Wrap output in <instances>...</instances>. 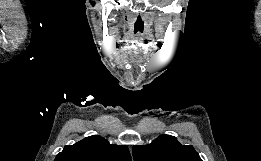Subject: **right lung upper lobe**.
<instances>
[{
    "instance_id": "right-lung-upper-lobe-1",
    "label": "right lung upper lobe",
    "mask_w": 261,
    "mask_h": 161,
    "mask_svg": "<svg viewBox=\"0 0 261 161\" xmlns=\"http://www.w3.org/2000/svg\"><path fill=\"white\" fill-rule=\"evenodd\" d=\"M54 161H131L126 145L110 144L100 136L65 146Z\"/></svg>"
}]
</instances>
